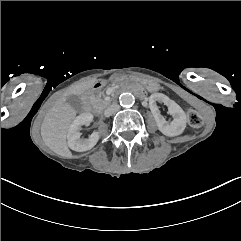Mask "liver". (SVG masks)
Returning a JSON list of instances; mask_svg holds the SVG:
<instances>
[{
	"label": "liver",
	"instance_id": "1",
	"mask_svg": "<svg viewBox=\"0 0 241 241\" xmlns=\"http://www.w3.org/2000/svg\"><path fill=\"white\" fill-rule=\"evenodd\" d=\"M97 79H91L81 82L71 88L60 97L51 106L46 113L41 125V136L45 144L56 154L70 158V152L66 137L69 126L76 116V111L66 102V97L69 95H81L86 90L91 89Z\"/></svg>",
	"mask_w": 241,
	"mask_h": 241
}]
</instances>
